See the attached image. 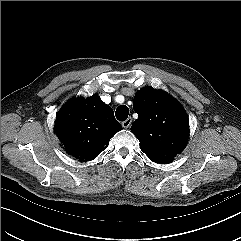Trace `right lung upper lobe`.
Segmentation results:
<instances>
[{
    "label": "right lung upper lobe",
    "instance_id": "1",
    "mask_svg": "<svg viewBox=\"0 0 241 241\" xmlns=\"http://www.w3.org/2000/svg\"><path fill=\"white\" fill-rule=\"evenodd\" d=\"M54 127L66 152L80 161L95 159L122 129L112 108L97 95L65 105L56 116Z\"/></svg>",
    "mask_w": 241,
    "mask_h": 241
}]
</instances>
